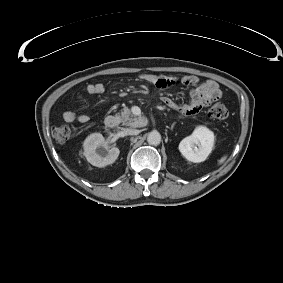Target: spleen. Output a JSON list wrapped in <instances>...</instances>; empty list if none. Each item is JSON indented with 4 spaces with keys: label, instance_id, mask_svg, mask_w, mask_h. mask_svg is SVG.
Instances as JSON below:
<instances>
[{
    "label": "spleen",
    "instance_id": "spleen-1",
    "mask_svg": "<svg viewBox=\"0 0 283 283\" xmlns=\"http://www.w3.org/2000/svg\"><path fill=\"white\" fill-rule=\"evenodd\" d=\"M226 159H227V155L222 156V157L218 160V165L223 164Z\"/></svg>",
    "mask_w": 283,
    "mask_h": 283
}]
</instances>
